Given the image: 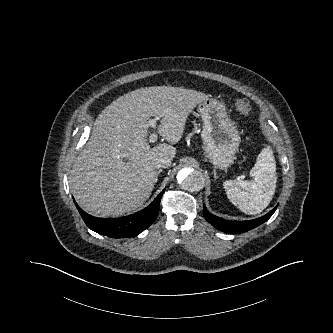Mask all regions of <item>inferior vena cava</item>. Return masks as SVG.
<instances>
[{"mask_svg": "<svg viewBox=\"0 0 333 333\" xmlns=\"http://www.w3.org/2000/svg\"><path fill=\"white\" fill-rule=\"evenodd\" d=\"M171 164V159L168 157L157 158L154 161L155 168H166Z\"/></svg>", "mask_w": 333, "mask_h": 333, "instance_id": "602c4592", "label": "inferior vena cava"}]
</instances>
